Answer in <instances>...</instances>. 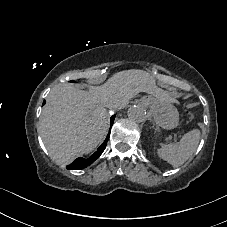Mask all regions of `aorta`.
Instances as JSON below:
<instances>
[{"label":"aorta","instance_id":"aorta-1","mask_svg":"<svg viewBox=\"0 0 227 227\" xmlns=\"http://www.w3.org/2000/svg\"><path fill=\"white\" fill-rule=\"evenodd\" d=\"M128 118L134 122L140 123L147 119L146 110L141 106H132L127 112Z\"/></svg>","mask_w":227,"mask_h":227}]
</instances>
